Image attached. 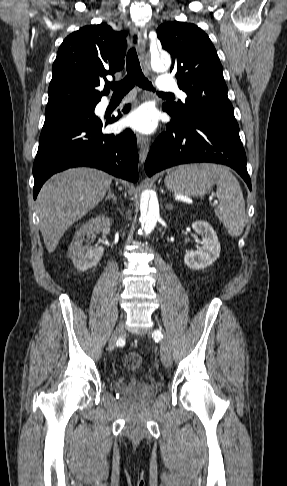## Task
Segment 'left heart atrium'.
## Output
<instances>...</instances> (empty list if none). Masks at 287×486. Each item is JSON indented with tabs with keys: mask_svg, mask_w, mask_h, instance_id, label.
<instances>
[{
	"mask_svg": "<svg viewBox=\"0 0 287 486\" xmlns=\"http://www.w3.org/2000/svg\"><path fill=\"white\" fill-rule=\"evenodd\" d=\"M127 123L138 131L148 133L156 127V115L152 109L141 107L129 115Z\"/></svg>",
	"mask_w": 287,
	"mask_h": 486,
	"instance_id": "39dd6f15",
	"label": "left heart atrium"
}]
</instances>
